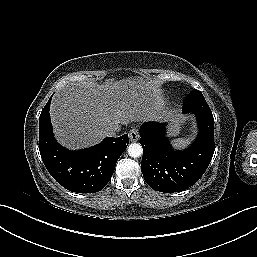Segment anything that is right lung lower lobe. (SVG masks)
<instances>
[{
  "mask_svg": "<svg viewBox=\"0 0 257 257\" xmlns=\"http://www.w3.org/2000/svg\"><path fill=\"white\" fill-rule=\"evenodd\" d=\"M52 96L39 117V151L43 163L51 176L67 190L98 192L111 179L115 164L129 143L128 135L108 137L93 147L69 151L58 144L52 132L49 115Z\"/></svg>",
  "mask_w": 257,
  "mask_h": 257,
  "instance_id": "obj_1",
  "label": "right lung lower lobe"
}]
</instances>
